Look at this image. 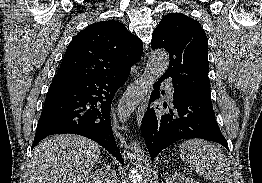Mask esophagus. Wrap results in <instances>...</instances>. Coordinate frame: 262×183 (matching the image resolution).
Here are the masks:
<instances>
[{
  "label": "esophagus",
  "mask_w": 262,
  "mask_h": 183,
  "mask_svg": "<svg viewBox=\"0 0 262 183\" xmlns=\"http://www.w3.org/2000/svg\"><path fill=\"white\" fill-rule=\"evenodd\" d=\"M148 100H149V94H147L145 96V98L143 99L141 105L139 106V108L137 110V119H138V121H141L142 118H143V115H144V112H145Z\"/></svg>",
  "instance_id": "1"
}]
</instances>
